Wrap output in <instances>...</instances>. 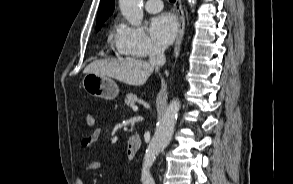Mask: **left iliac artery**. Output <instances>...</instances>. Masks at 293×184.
Wrapping results in <instances>:
<instances>
[{
  "mask_svg": "<svg viewBox=\"0 0 293 184\" xmlns=\"http://www.w3.org/2000/svg\"><path fill=\"white\" fill-rule=\"evenodd\" d=\"M146 184H155V183H146Z\"/></svg>",
  "mask_w": 293,
  "mask_h": 184,
  "instance_id": "obj_1",
  "label": "left iliac artery"
}]
</instances>
